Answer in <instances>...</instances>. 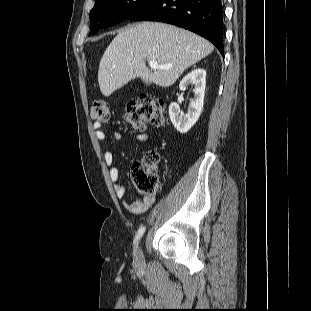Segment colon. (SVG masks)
Instances as JSON below:
<instances>
[{"mask_svg":"<svg viewBox=\"0 0 311 311\" xmlns=\"http://www.w3.org/2000/svg\"><path fill=\"white\" fill-rule=\"evenodd\" d=\"M90 115L97 122H108L110 110L107 102L102 99L93 101L90 107ZM125 118L135 130H143L148 123L156 126L163 125L165 122L163 102L151 94H144L126 105ZM158 160L159 155L155 151H149L144 161L132 166V182L140 194L155 196L159 192L160 175L155 169V163Z\"/></svg>","mask_w":311,"mask_h":311,"instance_id":"1","label":"colon"}]
</instances>
